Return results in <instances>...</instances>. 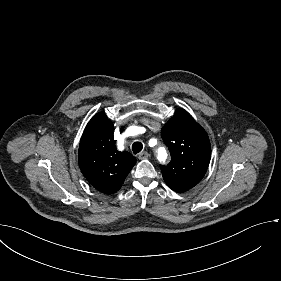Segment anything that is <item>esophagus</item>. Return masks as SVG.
<instances>
[{"label":"esophagus","mask_w":281,"mask_h":281,"mask_svg":"<svg viewBox=\"0 0 281 281\" xmlns=\"http://www.w3.org/2000/svg\"><path fill=\"white\" fill-rule=\"evenodd\" d=\"M148 157H149L148 152H142V153H140V154L138 155V158H139L140 160L147 159Z\"/></svg>","instance_id":"1"}]
</instances>
